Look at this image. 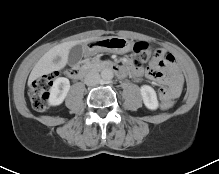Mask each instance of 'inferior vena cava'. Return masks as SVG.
Returning a JSON list of instances; mask_svg holds the SVG:
<instances>
[{
    "label": "inferior vena cava",
    "instance_id": "1",
    "mask_svg": "<svg viewBox=\"0 0 219 174\" xmlns=\"http://www.w3.org/2000/svg\"><path fill=\"white\" fill-rule=\"evenodd\" d=\"M100 82V75L97 72H89L84 79V83L88 86H95Z\"/></svg>",
    "mask_w": 219,
    "mask_h": 174
}]
</instances>
